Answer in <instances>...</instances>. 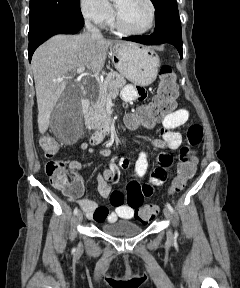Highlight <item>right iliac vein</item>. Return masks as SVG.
I'll return each mask as SVG.
<instances>
[{
    "instance_id": "obj_1",
    "label": "right iliac vein",
    "mask_w": 240,
    "mask_h": 288,
    "mask_svg": "<svg viewBox=\"0 0 240 288\" xmlns=\"http://www.w3.org/2000/svg\"><path fill=\"white\" fill-rule=\"evenodd\" d=\"M76 220H77L78 223H81V222H82V220H83V214H82L81 211H79V212L77 213Z\"/></svg>"
}]
</instances>
